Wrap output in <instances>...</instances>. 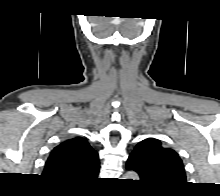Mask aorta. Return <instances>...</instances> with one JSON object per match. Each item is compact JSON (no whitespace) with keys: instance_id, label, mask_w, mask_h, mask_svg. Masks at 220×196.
Wrapping results in <instances>:
<instances>
[{"instance_id":"1","label":"aorta","mask_w":220,"mask_h":196,"mask_svg":"<svg viewBox=\"0 0 220 196\" xmlns=\"http://www.w3.org/2000/svg\"><path fill=\"white\" fill-rule=\"evenodd\" d=\"M125 177L126 178H124V179H133V180H138V178H139L137 173H135L133 171L127 172Z\"/></svg>"}]
</instances>
